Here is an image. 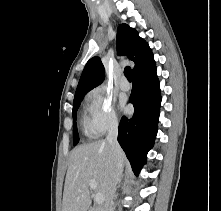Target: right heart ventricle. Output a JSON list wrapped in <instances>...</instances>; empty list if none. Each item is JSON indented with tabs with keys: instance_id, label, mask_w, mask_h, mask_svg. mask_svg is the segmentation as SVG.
<instances>
[{
	"instance_id": "right-heart-ventricle-1",
	"label": "right heart ventricle",
	"mask_w": 221,
	"mask_h": 211,
	"mask_svg": "<svg viewBox=\"0 0 221 211\" xmlns=\"http://www.w3.org/2000/svg\"><path fill=\"white\" fill-rule=\"evenodd\" d=\"M83 120H84V123L87 124V120H86L85 117H83ZM87 132L92 133V132L89 130V128H88V124H87Z\"/></svg>"
}]
</instances>
